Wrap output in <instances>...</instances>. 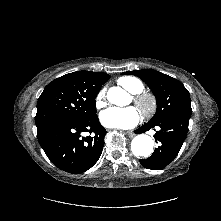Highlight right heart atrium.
I'll return each mask as SVG.
<instances>
[{"instance_id":"right-heart-atrium-1","label":"right heart atrium","mask_w":221,"mask_h":221,"mask_svg":"<svg viewBox=\"0 0 221 221\" xmlns=\"http://www.w3.org/2000/svg\"><path fill=\"white\" fill-rule=\"evenodd\" d=\"M106 105V90L101 89L95 97V107L100 110Z\"/></svg>"}]
</instances>
